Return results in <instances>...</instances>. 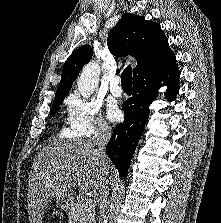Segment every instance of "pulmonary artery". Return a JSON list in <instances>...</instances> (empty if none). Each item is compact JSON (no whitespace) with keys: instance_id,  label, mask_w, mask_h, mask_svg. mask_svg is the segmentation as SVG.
Wrapping results in <instances>:
<instances>
[{"instance_id":"1","label":"pulmonary artery","mask_w":221,"mask_h":223,"mask_svg":"<svg viewBox=\"0 0 221 223\" xmlns=\"http://www.w3.org/2000/svg\"><path fill=\"white\" fill-rule=\"evenodd\" d=\"M121 78L119 76H114L110 81V91L114 96H121L123 91L120 87Z\"/></svg>"}]
</instances>
